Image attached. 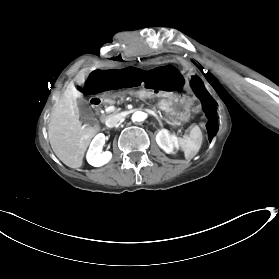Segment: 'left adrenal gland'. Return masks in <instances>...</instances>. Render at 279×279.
<instances>
[{
    "mask_svg": "<svg viewBox=\"0 0 279 279\" xmlns=\"http://www.w3.org/2000/svg\"><path fill=\"white\" fill-rule=\"evenodd\" d=\"M155 118H156V120L158 121V123H159V125L161 127L162 126V122H161L160 118L158 116H155Z\"/></svg>",
    "mask_w": 279,
    "mask_h": 279,
    "instance_id": "obj_1",
    "label": "left adrenal gland"
}]
</instances>
